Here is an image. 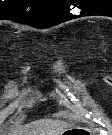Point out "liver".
<instances>
[{"instance_id":"obj_1","label":"liver","mask_w":112,"mask_h":135,"mask_svg":"<svg viewBox=\"0 0 112 135\" xmlns=\"http://www.w3.org/2000/svg\"><path fill=\"white\" fill-rule=\"evenodd\" d=\"M64 131L62 124L51 120H39L28 125L23 135H60Z\"/></svg>"}]
</instances>
